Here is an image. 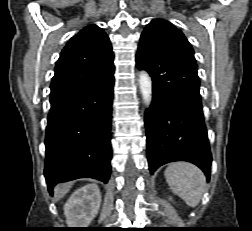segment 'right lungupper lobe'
Listing matches in <instances>:
<instances>
[{
  "instance_id": "right-lung-upper-lobe-1",
  "label": "right lung upper lobe",
  "mask_w": 252,
  "mask_h": 231,
  "mask_svg": "<svg viewBox=\"0 0 252 231\" xmlns=\"http://www.w3.org/2000/svg\"><path fill=\"white\" fill-rule=\"evenodd\" d=\"M114 69L111 43L104 30L97 25L83 28L60 54L50 86V102L106 78Z\"/></svg>"
}]
</instances>
